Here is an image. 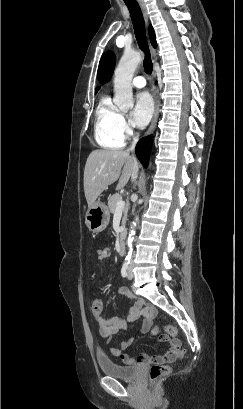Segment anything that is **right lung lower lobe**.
Listing matches in <instances>:
<instances>
[{"label": "right lung lower lobe", "mask_w": 243, "mask_h": 409, "mask_svg": "<svg viewBox=\"0 0 243 409\" xmlns=\"http://www.w3.org/2000/svg\"><path fill=\"white\" fill-rule=\"evenodd\" d=\"M151 147H152V137L149 136L145 139H141L135 148L136 156L140 160V162L143 164L144 167H147L148 165Z\"/></svg>", "instance_id": "1"}]
</instances>
